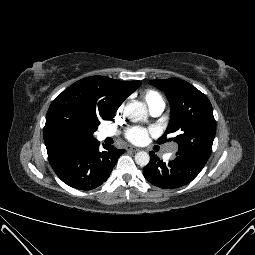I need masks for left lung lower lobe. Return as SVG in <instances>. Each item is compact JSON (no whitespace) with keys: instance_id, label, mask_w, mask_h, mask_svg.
<instances>
[{"instance_id":"0a47b994","label":"left lung lower lobe","mask_w":255,"mask_h":255,"mask_svg":"<svg viewBox=\"0 0 255 255\" xmlns=\"http://www.w3.org/2000/svg\"><path fill=\"white\" fill-rule=\"evenodd\" d=\"M150 162L144 168V177L153 185L163 189H174L191 182L203 169L205 163L177 156L164 163L153 151L149 152Z\"/></svg>"}]
</instances>
